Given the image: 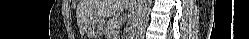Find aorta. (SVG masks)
Returning <instances> with one entry per match:
<instances>
[{"label": "aorta", "mask_w": 249, "mask_h": 39, "mask_svg": "<svg viewBox=\"0 0 249 39\" xmlns=\"http://www.w3.org/2000/svg\"><path fill=\"white\" fill-rule=\"evenodd\" d=\"M151 0H138L137 1V11L134 20V28L132 31V36L134 39H139L142 37L144 28L147 23V16Z\"/></svg>", "instance_id": "1"}]
</instances>
